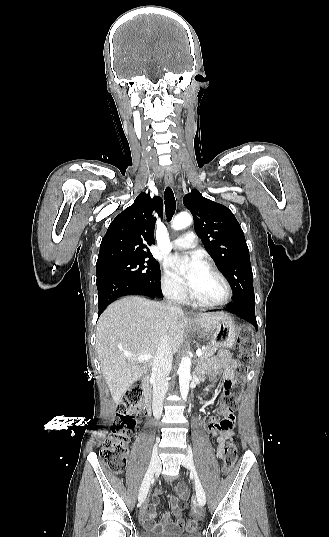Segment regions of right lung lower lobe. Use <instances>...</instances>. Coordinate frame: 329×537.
Returning <instances> with one entry per match:
<instances>
[{"label": "right lung lower lobe", "mask_w": 329, "mask_h": 537, "mask_svg": "<svg viewBox=\"0 0 329 537\" xmlns=\"http://www.w3.org/2000/svg\"><path fill=\"white\" fill-rule=\"evenodd\" d=\"M99 314L115 299L126 295H144L151 298H161V286L147 281H137L113 275L97 277Z\"/></svg>", "instance_id": "right-lung-lower-lobe-1"}]
</instances>
